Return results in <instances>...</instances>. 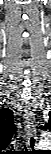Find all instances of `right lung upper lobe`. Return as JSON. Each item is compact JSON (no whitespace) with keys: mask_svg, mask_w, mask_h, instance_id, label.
<instances>
[{"mask_svg":"<svg viewBox=\"0 0 51 154\" xmlns=\"http://www.w3.org/2000/svg\"><path fill=\"white\" fill-rule=\"evenodd\" d=\"M2 115H3L4 121L6 122L8 129L12 130L14 128L12 112L9 109H7L5 110V112H3Z\"/></svg>","mask_w":51,"mask_h":154,"instance_id":"obj_1","label":"right lung upper lobe"}]
</instances>
